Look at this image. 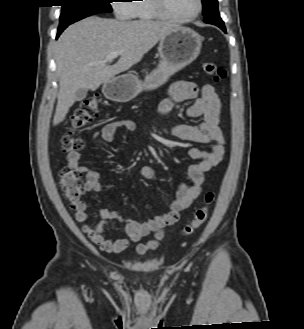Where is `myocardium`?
<instances>
[{
    "mask_svg": "<svg viewBox=\"0 0 304 329\" xmlns=\"http://www.w3.org/2000/svg\"><path fill=\"white\" fill-rule=\"evenodd\" d=\"M197 3L198 7L194 14L189 16H178L170 12L167 7L166 0H152L153 7L155 8L156 12L161 16V18L176 22H188L196 19L203 10V1L197 0Z\"/></svg>",
    "mask_w": 304,
    "mask_h": 329,
    "instance_id": "1",
    "label": "myocardium"
}]
</instances>
